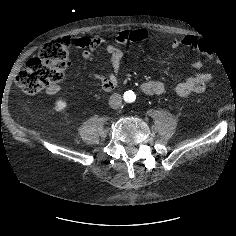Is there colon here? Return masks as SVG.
Listing matches in <instances>:
<instances>
[{
  "mask_svg": "<svg viewBox=\"0 0 236 236\" xmlns=\"http://www.w3.org/2000/svg\"><path fill=\"white\" fill-rule=\"evenodd\" d=\"M200 50L204 58H211L222 63L225 60L218 47L193 45ZM69 62V45L65 39H56L46 43L38 56L29 60L27 66L16 77V85L26 95H35L45 87L59 83Z\"/></svg>",
  "mask_w": 236,
  "mask_h": 236,
  "instance_id": "1",
  "label": "colon"
}]
</instances>
